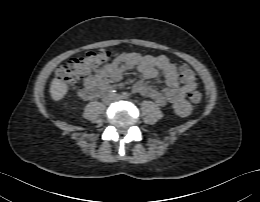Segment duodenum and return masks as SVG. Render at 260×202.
Here are the masks:
<instances>
[{
	"label": "duodenum",
	"mask_w": 260,
	"mask_h": 202,
	"mask_svg": "<svg viewBox=\"0 0 260 202\" xmlns=\"http://www.w3.org/2000/svg\"><path fill=\"white\" fill-rule=\"evenodd\" d=\"M108 89H109L108 85H104L101 87H86L83 89L81 96L85 100H90L104 93Z\"/></svg>",
	"instance_id": "1"
}]
</instances>
